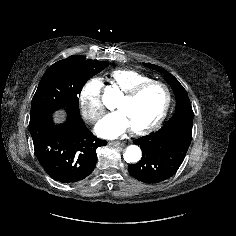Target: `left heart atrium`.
<instances>
[{"label": "left heart atrium", "instance_id": "39dd6f15", "mask_svg": "<svg viewBox=\"0 0 236 236\" xmlns=\"http://www.w3.org/2000/svg\"><path fill=\"white\" fill-rule=\"evenodd\" d=\"M130 128L129 121L121 111L106 115L95 127L98 136L113 139L117 138Z\"/></svg>", "mask_w": 236, "mask_h": 236}]
</instances>
